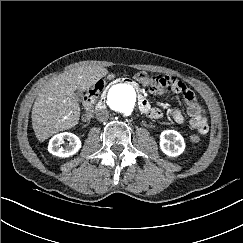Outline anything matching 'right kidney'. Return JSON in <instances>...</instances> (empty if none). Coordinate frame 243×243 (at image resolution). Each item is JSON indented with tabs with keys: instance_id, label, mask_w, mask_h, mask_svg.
<instances>
[{
	"instance_id": "1",
	"label": "right kidney",
	"mask_w": 243,
	"mask_h": 243,
	"mask_svg": "<svg viewBox=\"0 0 243 243\" xmlns=\"http://www.w3.org/2000/svg\"><path fill=\"white\" fill-rule=\"evenodd\" d=\"M64 140H67L69 144L63 148L61 144L64 143ZM81 148V140L76 135L63 132L53 136L48 145V151L58 157H69L76 154Z\"/></svg>"
}]
</instances>
